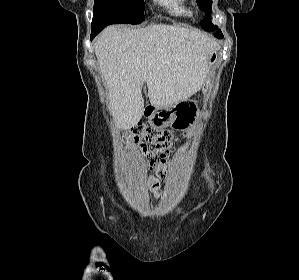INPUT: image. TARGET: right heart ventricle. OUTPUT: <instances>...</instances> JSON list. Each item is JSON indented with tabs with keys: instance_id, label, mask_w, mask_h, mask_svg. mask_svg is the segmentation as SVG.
Here are the masks:
<instances>
[{
	"instance_id": "obj_1",
	"label": "right heart ventricle",
	"mask_w": 299,
	"mask_h": 280,
	"mask_svg": "<svg viewBox=\"0 0 299 280\" xmlns=\"http://www.w3.org/2000/svg\"><path fill=\"white\" fill-rule=\"evenodd\" d=\"M168 13L177 17L192 15V9L188 0H156Z\"/></svg>"
}]
</instances>
